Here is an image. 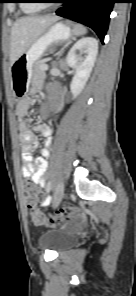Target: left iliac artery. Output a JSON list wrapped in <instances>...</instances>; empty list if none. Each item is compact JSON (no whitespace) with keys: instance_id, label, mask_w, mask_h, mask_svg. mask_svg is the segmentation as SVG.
<instances>
[{"instance_id":"left-iliac-artery-1","label":"left iliac artery","mask_w":136,"mask_h":296,"mask_svg":"<svg viewBox=\"0 0 136 296\" xmlns=\"http://www.w3.org/2000/svg\"><path fill=\"white\" fill-rule=\"evenodd\" d=\"M50 189H51V184H47L46 193H50ZM48 197H50V196H48Z\"/></svg>"}]
</instances>
